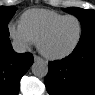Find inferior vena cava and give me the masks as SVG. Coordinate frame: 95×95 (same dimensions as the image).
<instances>
[{
  "instance_id": "obj_1",
  "label": "inferior vena cava",
  "mask_w": 95,
  "mask_h": 95,
  "mask_svg": "<svg viewBox=\"0 0 95 95\" xmlns=\"http://www.w3.org/2000/svg\"><path fill=\"white\" fill-rule=\"evenodd\" d=\"M13 50L17 53H25L27 51V47L21 41L14 40L12 42Z\"/></svg>"
}]
</instances>
